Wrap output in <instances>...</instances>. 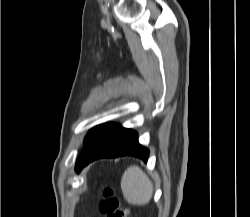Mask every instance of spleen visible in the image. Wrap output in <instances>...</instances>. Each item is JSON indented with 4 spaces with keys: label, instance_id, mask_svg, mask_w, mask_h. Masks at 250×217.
<instances>
[{
    "label": "spleen",
    "instance_id": "obj_1",
    "mask_svg": "<svg viewBox=\"0 0 250 217\" xmlns=\"http://www.w3.org/2000/svg\"><path fill=\"white\" fill-rule=\"evenodd\" d=\"M121 189L125 200L132 205H146L153 195V183L138 167L127 168L121 179Z\"/></svg>",
    "mask_w": 250,
    "mask_h": 217
}]
</instances>
